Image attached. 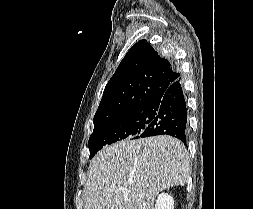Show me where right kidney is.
Segmentation results:
<instances>
[{
	"instance_id": "1",
	"label": "right kidney",
	"mask_w": 253,
	"mask_h": 209,
	"mask_svg": "<svg viewBox=\"0 0 253 209\" xmlns=\"http://www.w3.org/2000/svg\"><path fill=\"white\" fill-rule=\"evenodd\" d=\"M155 209H174L173 197L167 193H162L156 200Z\"/></svg>"
}]
</instances>
